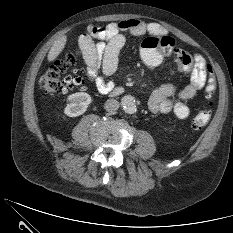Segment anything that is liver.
Here are the masks:
<instances>
[{"label": "liver", "mask_w": 233, "mask_h": 233, "mask_svg": "<svg viewBox=\"0 0 233 233\" xmlns=\"http://www.w3.org/2000/svg\"><path fill=\"white\" fill-rule=\"evenodd\" d=\"M66 42L67 36L65 35L54 42L47 55V59L49 62L54 61L59 56V54L65 48Z\"/></svg>", "instance_id": "liver-1"}]
</instances>
